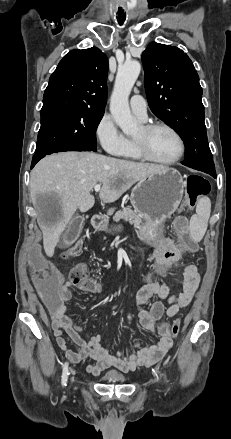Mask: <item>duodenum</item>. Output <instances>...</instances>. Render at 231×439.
Instances as JSON below:
<instances>
[{"instance_id":"410a0bca","label":"duodenum","mask_w":231,"mask_h":439,"mask_svg":"<svg viewBox=\"0 0 231 439\" xmlns=\"http://www.w3.org/2000/svg\"><path fill=\"white\" fill-rule=\"evenodd\" d=\"M105 223V218L102 215H94L91 218V224L94 228H100L104 225Z\"/></svg>"}]
</instances>
